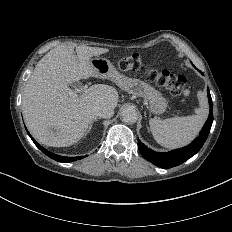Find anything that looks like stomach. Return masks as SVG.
Here are the masks:
<instances>
[{
	"mask_svg": "<svg viewBox=\"0 0 232 232\" xmlns=\"http://www.w3.org/2000/svg\"><path fill=\"white\" fill-rule=\"evenodd\" d=\"M90 64L98 74V77L109 79L129 94L148 100L153 113L162 114L165 111L167 107L165 98L148 83L120 74L107 58L95 57L90 60Z\"/></svg>",
	"mask_w": 232,
	"mask_h": 232,
	"instance_id": "stomach-1",
	"label": "stomach"
}]
</instances>
